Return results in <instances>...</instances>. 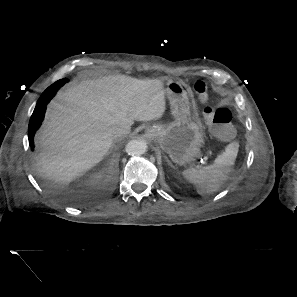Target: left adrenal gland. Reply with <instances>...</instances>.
Instances as JSON below:
<instances>
[{
  "label": "left adrenal gland",
  "mask_w": 297,
  "mask_h": 297,
  "mask_svg": "<svg viewBox=\"0 0 297 297\" xmlns=\"http://www.w3.org/2000/svg\"><path fill=\"white\" fill-rule=\"evenodd\" d=\"M167 162L172 168H174V166L172 165V163L169 160H167Z\"/></svg>",
  "instance_id": "left-adrenal-gland-1"
}]
</instances>
